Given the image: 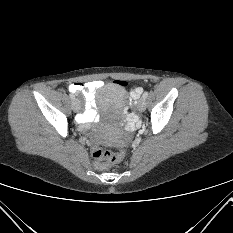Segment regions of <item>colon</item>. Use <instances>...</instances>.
Segmentation results:
<instances>
[{
	"instance_id": "5ec220e1",
	"label": "colon",
	"mask_w": 233,
	"mask_h": 233,
	"mask_svg": "<svg viewBox=\"0 0 233 233\" xmlns=\"http://www.w3.org/2000/svg\"><path fill=\"white\" fill-rule=\"evenodd\" d=\"M120 84H125L124 82H120ZM91 153L93 158L97 162V166L99 168L105 167V163H117L120 162L124 156L125 151L123 149L117 151V152H111L108 150H104L98 145L94 144Z\"/></svg>"
}]
</instances>
